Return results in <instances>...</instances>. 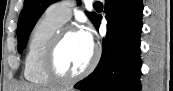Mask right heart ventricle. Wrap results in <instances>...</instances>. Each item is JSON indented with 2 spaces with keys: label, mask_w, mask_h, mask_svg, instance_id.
I'll list each match as a JSON object with an SVG mask.
<instances>
[{
  "label": "right heart ventricle",
  "mask_w": 173,
  "mask_h": 91,
  "mask_svg": "<svg viewBox=\"0 0 173 91\" xmlns=\"http://www.w3.org/2000/svg\"><path fill=\"white\" fill-rule=\"evenodd\" d=\"M62 26L63 23L49 10L35 23L24 59V77L27 81L40 86L52 83L42 71L41 60L48 42Z\"/></svg>",
  "instance_id": "right-heart-ventricle-1"
}]
</instances>
